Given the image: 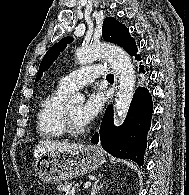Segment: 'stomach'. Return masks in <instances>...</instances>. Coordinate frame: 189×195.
Segmentation results:
<instances>
[{"label": "stomach", "mask_w": 189, "mask_h": 195, "mask_svg": "<svg viewBox=\"0 0 189 195\" xmlns=\"http://www.w3.org/2000/svg\"><path fill=\"white\" fill-rule=\"evenodd\" d=\"M104 162L103 152L89 145L77 151L44 154L37 158L34 167L42 182L57 184L94 171Z\"/></svg>", "instance_id": "0dacf381"}]
</instances>
